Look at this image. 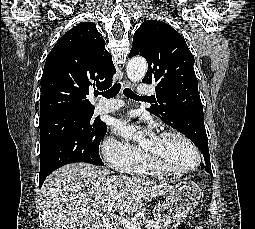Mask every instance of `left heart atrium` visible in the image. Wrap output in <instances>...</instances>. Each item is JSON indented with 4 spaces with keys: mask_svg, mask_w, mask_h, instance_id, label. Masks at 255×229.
<instances>
[{
    "mask_svg": "<svg viewBox=\"0 0 255 229\" xmlns=\"http://www.w3.org/2000/svg\"><path fill=\"white\" fill-rule=\"evenodd\" d=\"M115 132L123 137L130 138L138 127L131 122L130 118L120 119L115 122ZM155 137L151 130L147 131V138L153 139Z\"/></svg>",
    "mask_w": 255,
    "mask_h": 229,
    "instance_id": "left-heart-atrium-1",
    "label": "left heart atrium"
}]
</instances>
